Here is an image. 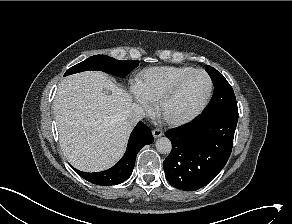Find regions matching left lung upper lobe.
I'll return each mask as SVG.
<instances>
[{
    "label": "left lung upper lobe",
    "mask_w": 292,
    "mask_h": 224,
    "mask_svg": "<svg viewBox=\"0 0 292 224\" xmlns=\"http://www.w3.org/2000/svg\"><path fill=\"white\" fill-rule=\"evenodd\" d=\"M205 70L210 75L214 84L212 99L204 112L215 109L219 106L236 102L234 91L225 77L215 68L206 65Z\"/></svg>",
    "instance_id": "1"
}]
</instances>
